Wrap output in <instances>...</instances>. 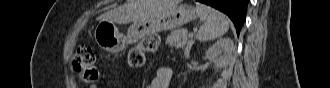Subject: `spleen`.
I'll list each match as a JSON object with an SVG mask.
<instances>
[{
	"instance_id": "1",
	"label": "spleen",
	"mask_w": 330,
	"mask_h": 88,
	"mask_svg": "<svg viewBox=\"0 0 330 88\" xmlns=\"http://www.w3.org/2000/svg\"><path fill=\"white\" fill-rule=\"evenodd\" d=\"M196 11L203 22L196 35L198 40L211 41L221 37L228 31L230 21L225 14L200 3H197Z\"/></svg>"
}]
</instances>
